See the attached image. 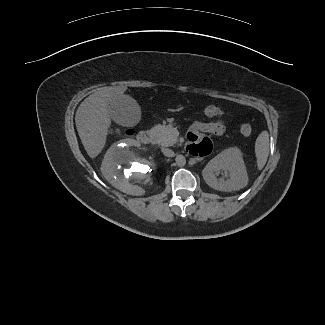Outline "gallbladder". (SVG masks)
Instances as JSON below:
<instances>
[{
	"mask_svg": "<svg viewBox=\"0 0 325 325\" xmlns=\"http://www.w3.org/2000/svg\"><path fill=\"white\" fill-rule=\"evenodd\" d=\"M107 110L111 119L121 126L135 125L141 117L138 103L127 96L116 98L108 104Z\"/></svg>",
	"mask_w": 325,
	"mask_h": 325,
	"instance_id": "1",
	"label": "gallbladder"
}]
</instances>
